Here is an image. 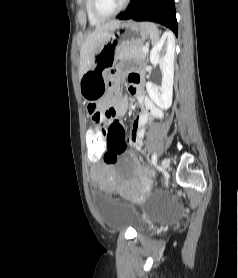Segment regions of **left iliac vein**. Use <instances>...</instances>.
Masks as SVG:
<instances>
[{"instance_id":"1","label":"left iliac vein","mask_w":238,"mask_h":278,"mask_svg":"<svg viewBox=\"0 0 238 278\" xmlns=\"http://www.w3.org/2000/svg\"><path fill=\"white\" fill-rule=\"evenodd\" d=\"M170 161L168 158H164L162 160L161 166L163 170H167V168L169 167Z\"/></svg>"}]
</instances>
